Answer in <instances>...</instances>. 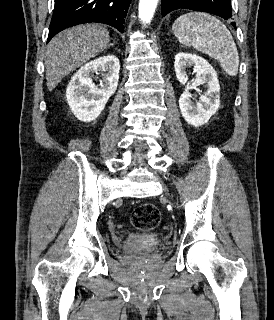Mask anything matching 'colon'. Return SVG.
Here are the masks:
<instances>
[{
	"mask_svg": "<svg viewBox=\"0 0 274 320\" xmlns=\"http://www.w3.org/2000/svg\"><path fill=\"white\" fill-rule=\"evenodd\" d=\"M131 222L137 230H152L160 224L161 213L154 204L143 202L135 207Z\"/></svg>",
	"mask_w": 274,
	"mask_h": 320,
	"instance_id": "colon-1",
	"label": "colon"
}]
</instances>
